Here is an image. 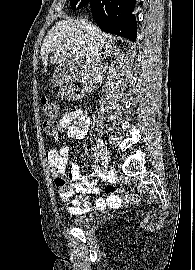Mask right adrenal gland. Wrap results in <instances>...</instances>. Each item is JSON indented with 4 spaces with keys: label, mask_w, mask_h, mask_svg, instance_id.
I'll return each instance as SVG.
<instances>
[{
    "label": "right adrenal gland",
    "mask_w": 195,
    "mask_h": 270,
    "mask_svg": "<svg viewBox=\"0 0 195 270\" xmlns=\"http://www.w3.org/2000/svg\"><path fill=\"white\" fill-rule=\"evenodd\" d=\"M118 52H119V50L116 49V47H113V48H110V49H106L105 52L103 53L104 54L103 59H106V58H108L111 55H114L115 56V55L118 54Z\"/></svg>",
    "instance_id": "right-adrenal-gland-1"
}]
</instances>
